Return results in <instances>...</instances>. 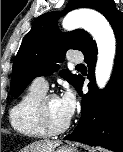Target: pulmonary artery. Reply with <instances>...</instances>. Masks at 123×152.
Segmentation results:
<instances>
[{
	"label": "pulmonary artery",
	"mask_w": 123,
	"mask_h": 152,
	"mask_svg": "<svg viewBox=\"0 0 123 152\" xmlns=\"http://www.w3.org/2000/svg\"><path fill=\"white\" fill-rule=\"evenodd\" d=\"M69 61L72 63H80L83 61V56L81 54H78V53L71 54L69 56ZM32 86L46 91L48 88V82L45 79V77L40 76V77H37L33 80Z\"/></svg>",
	"instance_id": "e3ab8cb5"
}]
</instances>
